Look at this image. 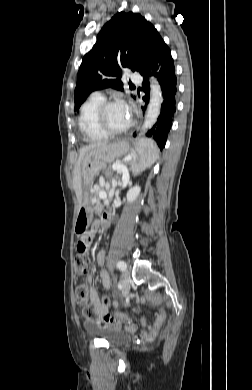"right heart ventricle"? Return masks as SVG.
Masks as SVG:
<instances>
[{"instance_id":"right-heart-ventricle-1","label":"right heart ventricle","mask_w":252,"mask_h":390,"mask_svg":"<svg viewBox=\"0 0 252 390\" xmlns=\"http://www.w3.org/2000/svg\"><path fill=\"white\" fill-rule=\"evenodd\" d=\"M104 101L103 96L92 94L81 106L78 124L88 142H100L109 137L98 128L96 123V111Z\"/></svg>"}]
</instances>
